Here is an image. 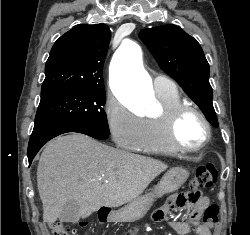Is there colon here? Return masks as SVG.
Masks as SVG:
<instances>
[{"mask_svg":"<svg viewBox=\"0 0 250 235\" xmlns=\"http://www.w3.org/2000/svg\"><path fill=\"white\" fill-rule=\"evenodd\" d=\"M217 181V172L213 165L201 166L196 170L190 183V189L181 196V201L187 204H196L201 198V191L210 189ZM218 206L207 207L203 214V222L213 225L218 222ZM52 235H75V230L60 221L48 222Z\"/></svg>","mask_w":250,"mask_h":235,"instance_id":"obj_1","label":"colon"}]
</instances>
